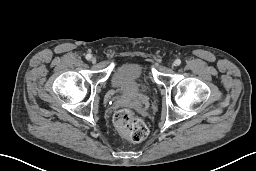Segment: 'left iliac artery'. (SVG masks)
Returning <instances> with one entry per match:
<instances>
[{
	"mask_svg": "<svg viewBox=\"0 0 256 171\" xmlns=\"http://www.w3.org/2000/svg\"><path fill=\"white\" fill-rule=\"evenodd\" d=\"M175 63H176V65L178 66V65L181 64V60H180V59H176V60H175Z\"/></svg>",
	"mask_w": 256,
	"mask_h": 171,
	"instance_id": "44dca946",
	"label": "left iliac artery"
}]
</instances>
